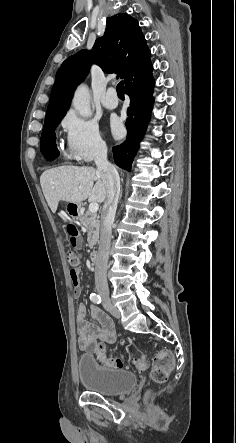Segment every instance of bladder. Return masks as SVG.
I'll return each mask as SVG.
<instances>
[{
    "mask_svg": "<svg viewBox=\"0 0 236 443\" xmlns=\"http://www.w3.org/2000/svg\"><path fill=\"white\" fill-rule=\"evenodd\" d=\"M77 371L87 391L106 396H117L136 385V375L129 371L103 366L94 356L85 354L77 359Z\"/></svg>",
    "mask_w": 236,
    "mask_h": 443,
    "instance_id": "obj_1",
    "label": "bladder"
}]
</instances>
